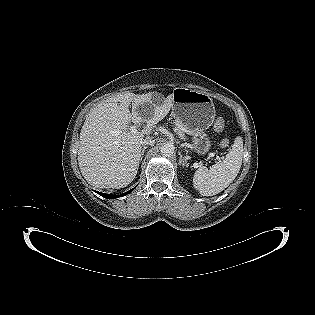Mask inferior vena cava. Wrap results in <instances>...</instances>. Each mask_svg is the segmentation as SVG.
<instances>
[{
	"label": "inferior vena cava",
	"mask_w": 315,
	"mask_h": 315,
	"mask_svg": "<svg viewBox=\"0 0 315 315\" xmlns=\"http://www.w3.org/2000/svg\"><path fill=\"white\" fill-rule=\"evenodd\" d=\"M141 143H142V145H151V146H153L154 143H155V140H152V139H150V138H148V139H143V141H142Z\"/></svg>",
	"instance_id": "obj_1"
}]
</instances>
